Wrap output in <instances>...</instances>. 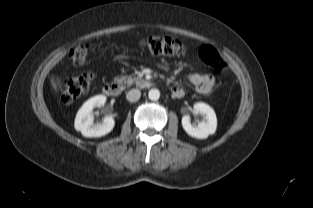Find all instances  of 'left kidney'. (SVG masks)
Instances as JSON below:
<instances>
[{
    "label": "left kidney",
    "instance_id": "obj_1",
    "mask_svg": "<svg viewBox=\"0 0 313 208\" xmlns=\"http://www.w3.org/2000/svg\"><path fill=\"white\" fill-rule=\"evenodd\" d=\"M193 109L203 116V120L197 125H192L190 116L184 115L182 117V126L186 133L198 139H205L210 134H214L217 128V118L213 108L208 104L198 102L194 104Z\"/></svg>",
    "mask_w": 313,
    "mask_h": 208
}]
</instances>
